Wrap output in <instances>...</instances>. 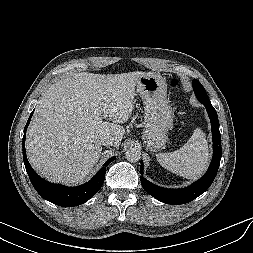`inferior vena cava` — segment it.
I'll use <instances>...</instances> for the list:
<instances>
[{
    "instance_id": "obj_1",
    "label": "inferior vena cava",
    "mask_w": 253,
    "mask_h": 253,
    "mask_svg": "<svg viewBox=\"0 0 253 253\" xmlns=\"http://www.w3.org/2000/svg\"><path fill=\"white\" fill-rule=\"evenodd\" d=\"M101 143H102V145H112L113 139L107 137V138L103 139V140L101 141Z\"/></svg>"
}]
</instances>
